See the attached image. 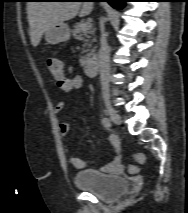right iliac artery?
<instances>
[{"instance_id": "1", "label": "right iliac artery", "mask_w": 188, "mask_h": 213, "mask_svg": "<svg viewBox=\"0 0 188 213\" xmlns=\"http://www.w3.org/2000/svg\"><path fill=\"white\" fill-rule=\"evenodd\" d=\"M102 124H103V126H104L105 128H107V129H110L111 126H112L111 120H110L109 118H107V117H104V118L102 119Z\"/></svg>"}]
</instances>
